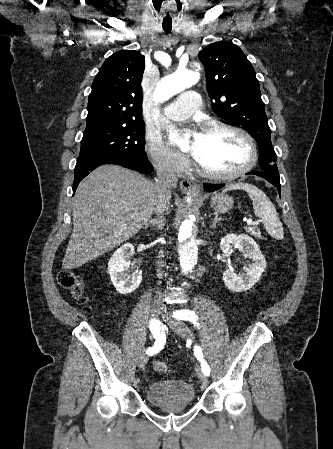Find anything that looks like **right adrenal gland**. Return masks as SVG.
<instances>
[{"instance_id": "obj_1", "label": "right adrenal gland", "mask_w": 333, "mask_h": 449, "mask_svg": "<svg viewBox=\"0 0 333 449\" xmlns=\"http://www.w3.org/2000/svg\"><path fill=\"white\" fill-rule=\"evenodd\" d=\"M145 226L146 227L156 226L158 230H161L162 227L164 226V219L162 216H160L159 218L150 220L148 223L145 224Z\"/></svg>"}]
</instances>
